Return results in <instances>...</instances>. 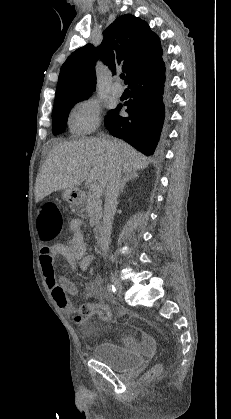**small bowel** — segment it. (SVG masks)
<instances>
[{
    "mask_svg": "<svg viewBox=\"0 0 231 419\" xmlns=\"http://www.w3.org/2000/svg\"><path fill=\"white\" fill-rule=\"evenodd\" d=\"M82 221L74 218L70 222L73 232L72 237L67 243H57L52 246H44L40 249V265L46 285L49 288L52 298L61 311L72 315L77 322H83L86 318L82 317L79 309L70 301L68 295L78 293L76 284L64 276L57 277L55 273V260L57 256H62L73 271H86L93 263V256L88 252L84 235L81 231ZM86 295L90 298L107 299L108 295L103 290L101 279L97 278L86 287ZM98 307H107L104 303L94 304ZM120 311L119 315H124ZM125 342L130 345L138 343L133 336H126Z\"/></svg>",
    "mask_w": 231,
    "mask_h": 419,
    "instance_id": "1",
    "label": "small bowel"
}]
</instances>
